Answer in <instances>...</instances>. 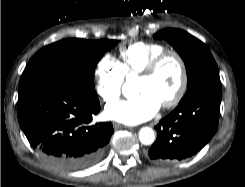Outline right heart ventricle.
I'll return each mask as SVG.
<instances>
[{
    "label": "right heart ventricle",
    "instance_id": "obj_1",
    "mask_svg": "<svg viewBox=\"0 0 245 187\" xmlns=\"http://www.w3.org/2000/svg\"><path fill=\"white\" fill-rule=\"evenodd\" d=\"M165 50L161 43L137 41L120 47L118 63L124 76L139 74L151 58Z\"/></svg>",
    "mask_w": 245,
    "mask_h": 187
}]
</instances>
